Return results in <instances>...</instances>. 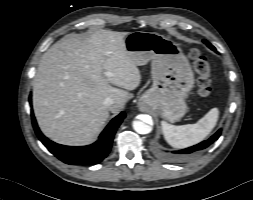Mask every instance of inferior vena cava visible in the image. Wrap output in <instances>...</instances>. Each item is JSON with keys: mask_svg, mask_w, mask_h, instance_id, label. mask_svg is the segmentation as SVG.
Returning <instances> with one entry per match:
<instances>
[{"mask_svg": "<svg viewBox=\"0 0 253 200\" xmlns=\"http://www.w3.org/2000/svg\"><path fill=\"white\" fill-rule=\"evenodd\" d=\"M104 106L107 108V109H111L112 106L114 105V99L113 98H110V97H107L104 102H103Z\"/></svg>", "mask_w": 253, "mask_h": 200, "instance_id": "1", "label": "inferior vena cava"}]
</instances>
